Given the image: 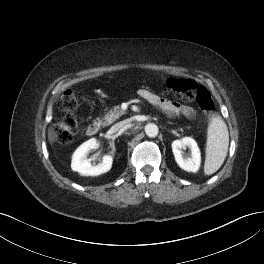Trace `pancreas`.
Wrapping results in <instances>:
<instances>
[{
    "label": "pancreas",
    "instance_id": "pancreas-1",
    "mask_svg": "<svg viewBox=\"0 0 264 264\" xmlns=\"http://www.w3.org/2000/svg\"><path fill=\"white\" fill-rule=\"evenodd\" d=\"M123 114H124V111L121 110L119 106H114L113 109H111L110 111H108L105 114V116L103 118L102 125L103 126L110 125L111 123H113L115 120H117Z\"/></svg>",
    "mask_w": 264,
    "mask_h": 264
}]
</instances>
